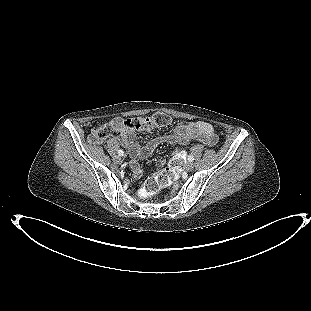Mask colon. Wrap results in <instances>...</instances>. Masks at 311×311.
Instances as JSON below:
<instances>
[{"label":"colon","instance_id":"obj_1","mask_svg":"<svg viewBox=\"0 0 311 311\" xmlns=\"http://www.w3.org/2000/svg\"><path fill=\"white\" fill-rule=\"evenodd\" d=\"M172 118L164 113H156L150 117L128 118L116 121H111L107 124L94 128L88 137L91 144H99L109 137L117 135L122 128L128 129H152L163 127L171 124ZM178 163L176 159H172L169 166L160 171L153 177H150L143 184L140 196L149 197L157 193L164 186L169 185L176 176Z\"/></svg>","mask_w":311,"mask_h":311}]
</instances>
